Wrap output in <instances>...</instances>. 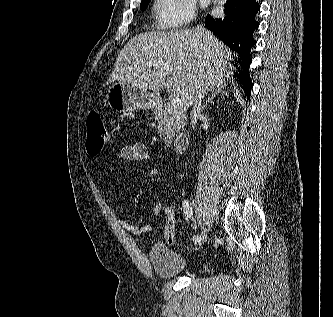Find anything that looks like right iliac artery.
I'll use <instances>...</instances> for the list:
<instances>
[{"label": "right iliac artery", "instance_id": "1", "mask_svg": "<svg viewBox=\"0 0 333 317\" xmlns=\"http://www.w3.org/2000/svg\"><path fill=\"white\" fill-rule=\"evenodd\" d=\"M182 207H183L184 213L187 215V217L190 218L192 216L193 212H192V208L190 206L189 201L184 200ZM198 239H199V235L193 236V241H197Z\"/></svg>", "mask_w": 333, "mask_h": 317}]
</instances>
